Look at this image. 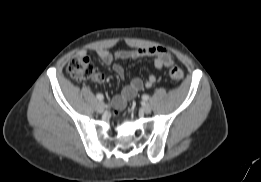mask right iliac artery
Wrapping results in <instances>:
<instances>
[{
  "label": "right iliac artery",
  "instance_id": "82829eb1",
  "mask_svg": "<svg viewBox=\"0 0 261 182\" xmlns=\"http://www.w3.org/2000/svg\"><path fill=\"white\" fill-rule=\"evenodd\" d=\"M96 97H97V99L100 100V101H102V100L104 99L103 94H100V93L97 94Z\"/></svg>",
  "mask_w": 261,
  "mask_h": 182
}]
</instances>
